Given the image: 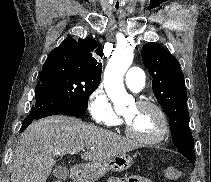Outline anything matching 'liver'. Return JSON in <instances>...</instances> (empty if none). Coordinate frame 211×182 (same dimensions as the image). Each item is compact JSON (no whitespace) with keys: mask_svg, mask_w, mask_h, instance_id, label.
<instances>
[{"mask_svg":"<svg viewBox=\"0 0 211 182\" xmlns=\"http://www.w3.org/2000/svg\"><path fill=\"white\" fill-rule=\"evenodd\" d=\"M99 162L132 151L137 145L113 132L74 117L54 115L32 122L20 135L11 164V182H46L58 156L76 154Z\"/></svg>","mask_w":211,"mask_h":182,"instance_id":"6515ba94","label":"liver"}]
</instances>
